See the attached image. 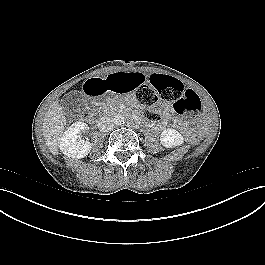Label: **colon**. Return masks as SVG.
<instances>
[{"label":"colon","mask_w":265,"mask_h":265,"mask_svg":"<svg viewBox=\"0 0 265 265\" xmlns=\"http://www.w3.org/2000/svg\"><path fill=\"white\" fill-rule=\"evenodd\" d=\"M149 85H142L136 91L137 101L144 107L143 116L150 122L158 120V110L163 103L173 106L179 114L198 116L202 113V102L192 89L161 72H154L149 77ZM85 117H88L85 114Z\"/></svg>","instance_id":"1"}]
</instances>
